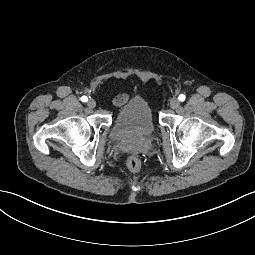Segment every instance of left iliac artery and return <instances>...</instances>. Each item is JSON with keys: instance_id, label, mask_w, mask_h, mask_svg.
Segmentation results:
<instances>
[{"instance_id": "44dca946", "label": "left iliac artery", "mask_w": 255, "mask_h": 255, "mask_svg": "<svg viewBox=\"0 0 255 255\" xmlns=\"http://www.w3.org/2000/svg\"><path fill=\"white\" fill-rule=\"evenodd\" d=\"M178 99L181 102L184 101L185 100V95H183V94L179 95Z\"/></svg>"}]
</instances>
